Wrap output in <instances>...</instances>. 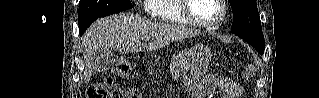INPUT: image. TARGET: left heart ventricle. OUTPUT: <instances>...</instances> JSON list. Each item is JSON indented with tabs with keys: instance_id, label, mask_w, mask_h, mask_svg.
<instances>
[{
	"instance_id": "obj_1",
	"label": "left heart ventricle",
	"mask_w": 319,
	"mask_h": 98,
	"mask_svg": "<svg viewBox=\"0 0 319 98\" xmlns=\"http://www.w3.org/2000/svg\"><path fill=\"white\" fill-rule=\"evenodd\" d=\"M191 13L204 22H213L221 15V6L217 0H191Z\"/></svg>"
}]
</instances>
